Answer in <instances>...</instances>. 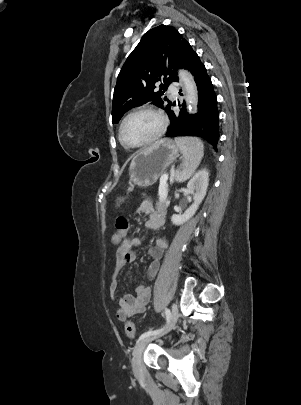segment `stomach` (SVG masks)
Listing matches in <instances>:
<instances>
[{
    "label": "stomach",
    "mask_w": 301,
    "mask_h": 405,
    "mask_svg": "<svg viewBox=\"0 0 301 405\" xmlns=\"http://www.w3.org/2000/svg\"><path fill=\"white\" fill-rule=\"evenodd\" d=\"M179 154V147L171 139H160L148 147L138 151L129 167V187H149L153 185L162 172Z\"/></svg>",
    "instance_id": "0dacf381"
}]
</instances>
